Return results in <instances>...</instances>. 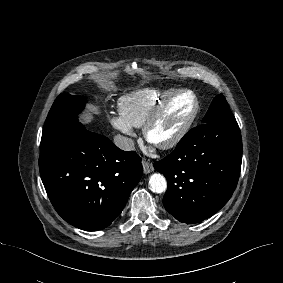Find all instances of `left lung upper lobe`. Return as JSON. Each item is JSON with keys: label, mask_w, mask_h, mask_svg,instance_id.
Returning a JSON list of instances; mask_svg holds the SVG:
<instances>
[{"label": "left lung upper lobe", "mask_w": 283, "mask_h": 283, "mask_svg": "<svg viewBox=\"0 0 283 283\" xmlns=\"http://www.w3.org/2000/svg\"><path fill=\"white\" fill-rule=\"evenodd\" d=\"M221 120H235L223 94H219L214 98L202 122L205 124Z\"/></svg>", "instance_id": "5c2ea615"}]
</instances>
